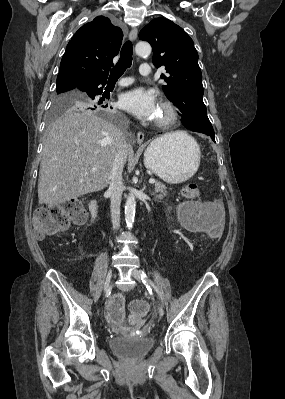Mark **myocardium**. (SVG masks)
<instances>
[{
	"mask_svg": "<svg viewBox=\"0 0 285 399\" xmlns=\"http://www.w3.org/2000/svg\"><path fill=\"white\" fill-rule=\"evenodd\" d=\"M159 107L163 108L167 116L163 119H156L154 125L159 128H168L172 126L178 119V110L176 106L169 100H162Z\"/></svg>",
	"mask_w": 285,
	"mask_h": 399,
	"instance_id": "f54148a6",
	"label": "myocardium"
}]
</instances>
